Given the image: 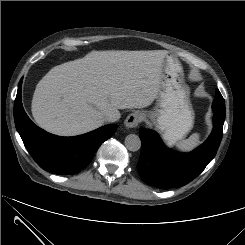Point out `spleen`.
Returning <instances> with one entry per match:
<instances>
[{"mask_svg":"<svg viewBox=\"0 0 245 245\" xmlns=\"http://www.w3.org/2000/svg\"><path fill=\"white\" fill-rule=\"evenodd\" d=\"M200 144V134L194 133L188 139L176 144L177 149L188 152L195 149Z\"/></svg>","mask_w":245,"mask_h":245,"instance_id":"spleen-1","label":"spleen"}]
</instances>
